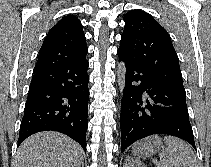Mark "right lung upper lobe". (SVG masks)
<instances>
[{"label":"right lung upper lobe","mask_w":211,"mask_h":167,"mask_svg":"<svg viewBox=\"0 0 211 167\" xmlns=\"http://www.w3.org/2000/svg\"><path fill=\"white\" fill-rule=\"evenodd\" d=\"M88 47L80 20L63 17L47 34L33 73L76 62L86 57Z\"/></svg>","instance_id":"obj_1"}]
</instances>
